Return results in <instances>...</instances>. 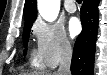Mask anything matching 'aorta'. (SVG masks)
Segmentation results:
<instances>
[{
  "label": "aorta",
  "mask_w": 107,
  "mask_h": 75,
  "mask_svg": "<svg viewBox=\"0 0 107 75\" xmlns=\"http://www.w3.org/2000/svg\"><path fill=\"white\" fill-rule=\"evenodd\" d=\"M38 10L44 20L53 22L60 11V0H38Z\"/></svg>",
  "instance_id": "1"
}]
</instances>
